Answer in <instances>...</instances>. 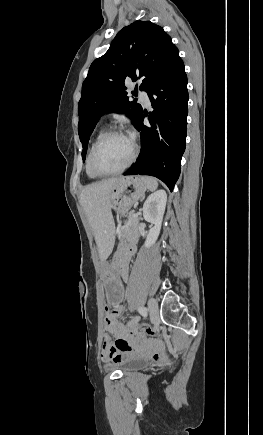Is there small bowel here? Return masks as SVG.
Returning <instances> with one entry per match:
<instances>
[{
    "instance_id": "obj_1",
    "label": "small bowel",
    "mask_w": 263,
    "mask_h": 435,
    "mask_svg": "<svg viewBox=\"0 0 263 435\" xmlns=\"http://www.w3.org/2000/svg\"><path fill=\"white\" fill-rule=\"evenodd\" d=\"M136 251V244L133 240L129 241L124 247L119 249L113 256L119 261H124L125 263V278L123 281H127L129 277V267L131 259ZM109 313L105 318V328L111 334H107L105 337L110 339L112 343V348L110 350H105L102 348L101 358L104 361L109 360H121L126 357V355H134L138 353V349L141 344L138 341H130V339H143V335L140 332V321L138 317H133L128 325H125L119 321V316L123 312L122 305H109ZM150 344V343H149ZM147 354H152V349H147ZM151 358L158 364H162L165 358L154 352Z\"/></svg>"
}]
</instances>
